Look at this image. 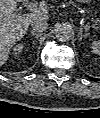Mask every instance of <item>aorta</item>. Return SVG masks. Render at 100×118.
<instances>
[{
	"instance_id": "1",
	"label": "aorta",
	"mask_w": 100,
	"mask_h": 118,
	"mask_svg": "<svg viewBox=\"0 0 100 118\" xmlns=\"http://www.w3.org/2000/svg\"><path fill=\"white\" fill-rule=\"evenodd\" d=\"M73 30L67 24H60L55 30L56 38L61 42L69 41L72 37Z\"/></svg>"
}]
</instances>
